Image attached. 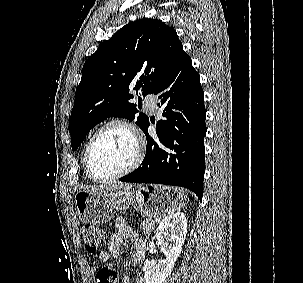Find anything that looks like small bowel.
<instances>
[{
	"label": "small bowel",
	"instance_id": "c3829d8e",
	"mask_svg": "<svg viewBox=\"0 0 303 283\" xmlns=\"http://www.w3.org/2000/svg\"><path fill=\"white\" fill-rule=\"evenodd\" d=\"M114 229L115 232L110 237L107 250H103L99 253L100 261L105 263L111 257H119L126 246V242H129L133 246L131 263L133 266H139L143 262L145 256V241L143 238L121 217L115 219ZM122 283H131V280L128 276H123ZM135 283H144V281L141 278H138Z\"/></svg>",
	"mask_w": 303,
	"mask_h": 283
}]
</instances>
